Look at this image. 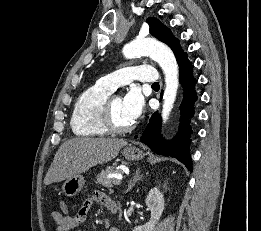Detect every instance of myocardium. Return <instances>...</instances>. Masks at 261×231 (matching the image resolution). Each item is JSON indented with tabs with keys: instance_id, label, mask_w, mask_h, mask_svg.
Masks as SVG:
<instances>
[{
	"instance_id": "myocardium-1",
	"label": "myocardium",
	"mask_w": 261,
	"mask_h": 231,
	"mask_svg": "<svg viewBox=\"0 0 261 231\" xmlns=\"http://www.w3.org/2000/svg\"><path fill=\"white\" fill-rule=\"evenodd\" d=\"M117 96H109L101 111L100 121L104 128H106L110 133L123 134L130 132L135 127V122L127 126H120L115 122L112 110V102Z\"/></svg>"
}]
</instances>
